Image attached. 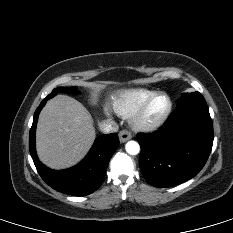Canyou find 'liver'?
I'll list each match as a JSON object with an SVG mask.
<instances>
[{"instance_id":"6515ba94","label":"liver","mask_w":233,"mask_h":233,"mask_svg":"<svg viewBox=\"0 0 233 233\" xmlns=\"http://www.w3.org/2000/svg\"><path fill=\"white\" fill-rule=\"evenodd\" d=\"M96 137L89 111L77 100L58 95L39 115L36 148L39 159L52 169L68 168L89 151Z\"/></svg>"}]
</instances>
